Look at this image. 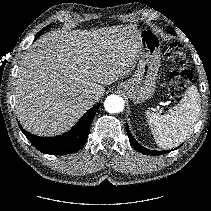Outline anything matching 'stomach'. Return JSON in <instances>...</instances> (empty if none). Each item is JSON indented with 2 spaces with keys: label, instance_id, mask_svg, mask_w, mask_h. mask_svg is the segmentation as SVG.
Here are the masks:
<instances>
[{
  "label": "stomach",
  "instance_id": "obj_1",
  "mask_svg": "<svg viewBox=\"0 0 211 211\" xmlns=\"http://www.w3.org/2000/svg\"><path fill=\"white\" fill-rule=\"evenodd\" d=\"M139 34L137 69L130 79L120 84V88L135 104L143 103L154 95L161 65V47L157 35L150 30H142Z\"/></svg>",
  "mask_w": 211,
  "mask_h": 211
}]
</instances>
